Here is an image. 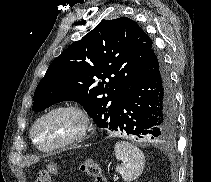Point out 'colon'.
<instances>
[{
	"instance_id": "obj_1",
	"label": "colon",
	"mask_w": 211,
	"mask_h": 182,
	"mask_svg": "<svg viewBox=\"0 0 211 182\" xmlns=\"http://www.w3.org/2000/svg\"><path fill=\"white\" fill-rule=\"evenodd\" d=\"M57 167L53 164L47 166L43 171H40L36 176L35 182H50V176L56 174ZM80 171L94 179V182H107L102 173L100 165L93 160H87L80 165Z\"/></svg>"
}]
</instances>
